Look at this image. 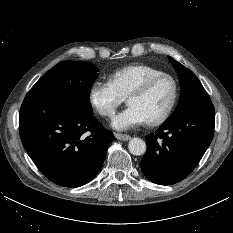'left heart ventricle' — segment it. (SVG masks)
Wrapping results in <instances>:
<instances>
[{
  "instance_id": "left-heart-ventricle-1",
  "label": "left heart ventricle",
  "mask_w": 233,
  "mask_h": 233,
  "mask_svg": "<svg viewBox=\"0 0 233 233\" xmlns=\"http://www.w3.org/2000/svg\"><path fill=\"white\" fill-rule=\"evenodd\" d=\"M173 86L168 79L156 82L145 94L137 95L129 100V105L137 107L146 120L160 116L170 103Z\"/></svg>"
}]
</instances>
